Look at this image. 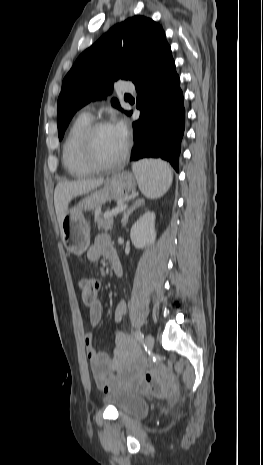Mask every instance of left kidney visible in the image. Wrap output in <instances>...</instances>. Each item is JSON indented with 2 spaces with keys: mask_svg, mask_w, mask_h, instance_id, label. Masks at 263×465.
<instances>
[{
  "mask_svg": "<svg viewBox=\"0 0 263 465\" xmlns=\"http://www.w3.org/2000/svg\"><path fill=\"white\" fill-rule=\"evenodd\" d=\"M130 238L136 248H145L155 241V213L146 212L132 226Z\"/></svg>",
  "mask_w": 263,
  "mask_h": 465,
  "instance_id": "left-kidney-1",
  "label": "left kidney"
}]
</instances>
